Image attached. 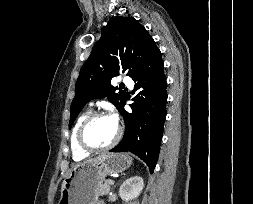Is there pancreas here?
<instances>
[{
    "label": "pancreas",
    "instance_id": "1",
    "mask_svg": "<svg viewBox=\"0 0 253 204\" xmlns=\"http://www.w3.org/2000/svg\"><path fill=\"white\" fill-rule=\"evenodd\" d=\"M96 191L99 195H107L110 191V184L108 180H105L104 182L100 183L96 187Z\"/></svg>",
    "mask_w": 253,
    "mask_h": 204
}]
</instances>
